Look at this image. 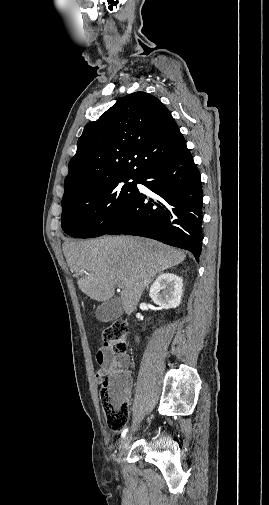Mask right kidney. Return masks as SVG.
<instances>
[{
	"label": "right kidney",
	"mask_w": 269,
	"mask_h": 505,
	"mask_svg": "<svg viewBox=\"0 0 269 505\" xmlns=\"http://www.w3.org/2000/svg\"><path fill=\"white\" fill-rule=\"evenodd\" d=\"M183 280L173 273L161 274L151 285L149 295L163 309L176 308L181 303Z\"/></svg>",
	"instance_id": "1"
}]
</instances>
